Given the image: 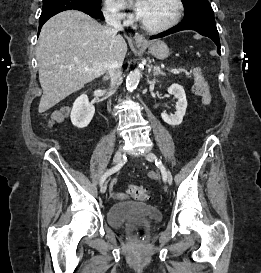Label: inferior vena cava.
Masks as SVG:
<instances>
[{
	"label": "inferior vena cava",
	"instance_id": "602c4592",
	"mask_svg": "<svg viewBox=\"0 0 261 273\" xmlns=\"http://www.w3.org/2000/svg\"><path fill=\"white\" fill-rule=\"evenodd\" d=\"M106 23L110 27H112L116 32L123 31V26L121 24V18L114 12H107L105 15ZM122 64L123 59L119 58L118 56H113L111 61L107 66L108 77L111 80V89L114 92V89L119 85L121 82V75H122Z\"/></svg>",
	"mask_w": 261,
	"mask_h": 273
}]
</instances>
